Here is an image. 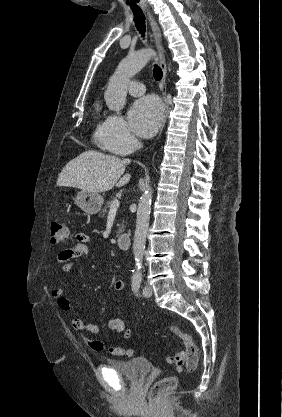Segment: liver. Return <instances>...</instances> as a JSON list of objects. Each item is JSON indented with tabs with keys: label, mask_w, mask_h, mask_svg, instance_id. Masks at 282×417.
Returning a JSON list of instances; mask_svg holds the SVG:
<instances>
[{
	"label": "liver",
	"mask_w": 282,
	"mask_h": 417,
	"mask_svg": "<svg viewBox=\"0 0 282 417\" xmlns=\"http://www.w3.org/2000/svg\"><path fill=\"white\" fill-rule=\"evenodd\" d=\"M130 160H121L118 156L102 154L97 150H85L76 158H72L61 170L58 186H75L89 192H104L113 186H124L131 178V174H124L125 164ZM121 176V178H120ZM120 178V180H119ZM118 180V182H117Z\"/></svg>",
	"instance_id": "obj_1"
}]
</instances>
